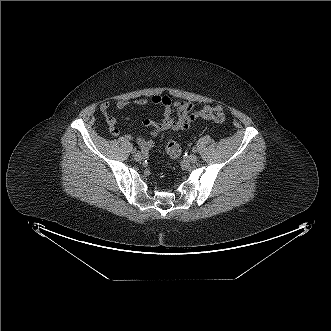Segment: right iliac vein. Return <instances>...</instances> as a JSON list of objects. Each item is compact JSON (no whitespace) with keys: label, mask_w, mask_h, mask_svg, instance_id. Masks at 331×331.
I'll return each mask as SVG.
<instances>
[{"label":"right iliac vein","mask_w":331,"mask_h":331,"mask_svg":"<svg viewBox=\"0 0 331 331\" xmlns=\"http://www.w3.org/2000/svg\"><path fill=\"white\" fill-rule=\"evenodd\" d=\"M133 157L136 161H141L143 159V156L140 152L135 153Z\"/></svg>","instance_id":"right-iliac-vein-1"}]
</instances>
